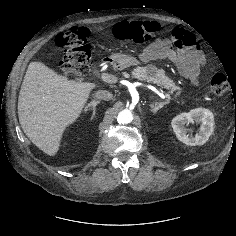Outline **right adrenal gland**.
<instances>
[{
  "label": "right adrenal gland",
  "instance_id": "2a0ac1e0",
  "mask_svg": "<svg viewBox=\"0 0 236 236\" xmlns=\"http://www.w3.org/2000/svg\"><path fill=\"white\" fill-rule=\"evenodd\" d=\"M100 103L99 100L95 101H91L90 103H88V105L86 106V109L85 111H89V110H92V115H91V120L93 119L94 115H95V111H96V106Z\"/></svg>",
  "mask_w": 236,
  "mask_h": 236
}]
</instances>
